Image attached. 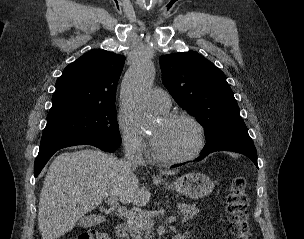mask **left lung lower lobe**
Returning <instances> with one entry per match:
<instances>
[{"label":"left lung lower lobe","instance_id":"1","mask_svg":"<svg viewBox=\"0 0 304 239\" xmlns=\"http://www.w3.org/2000/svg\"><path fill=\"white\" fill-rule=\"evenodd\" d=\"M215 151H233L237 153H241L248 158H250L253 163L258 167L257 164V152L254 144H231V145H226L218 148H213V149H208V150H203L201 156L197 160H201L204 157H206L208 154L215 152ZM179 165H176L174 167H177Z\"/></svg>","mask_w":304,"mask_h":239}]
</instances>
